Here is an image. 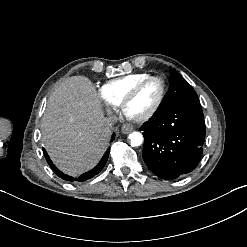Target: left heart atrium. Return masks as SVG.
I'll list each match as a JSON object with an SVG mask.
<instances>
[{
    "label": "left heart atrium",
    "mask_w": 247,
    "mask_h": 247,
    "mask_svg": "<svg viewBox=\"0 0 247 247\" xmlns=\"http://www.w3.org/2000/svg\"><path fill=\"white\" fill-rule=\"evenodd\" d=\"M124 115H125L128 119H134V118H135V116H134L132 113H130L129 111H127V110H125Z\"/></svg>",
    "instance_id": "1"
}]
</instances>
